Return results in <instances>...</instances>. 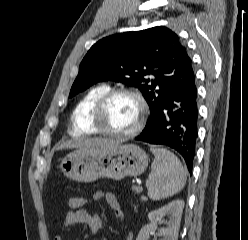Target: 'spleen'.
Returning <instances> with one entry per match:
<instances>
[{
	"label": "spleen",
	"instance_id": "obj_1",
	"mask_svg": "<svg viewBox=\"0 0 248 240\" xmlns=\"http://www.w3.org/2000/svg\"><path fill=\"white\" fill-rule=\"evenodd\" d=\"M150 150L155 159L146 181L149 198L161 200L180 192L186 183V173L180 160L165 148L151 147Z\"/></svg>",
	"mask_w": 248,
	"mask_h": 240
}]
</instances>
